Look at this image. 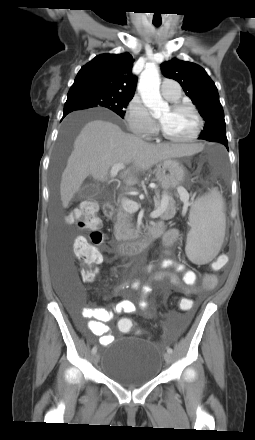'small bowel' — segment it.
Instances as JSON below:
<instances>
[{
	"instance_id": "small-bowel-1",
	"label": "small bowel",
	"mask_w": 255,
	"mask_h": 440,
	"mask_svg": "<svg viewBox=\"0 0 255 440\" xmlns=\"http://www.w3.org/2000/svg\"><path fill=\"white\" fill-rule=\"evenodd\" d=\"M158 226L163 228L162 223H159ZM179 239V229L170 228L166 231L163 237L166 256L170 255V248ZM156 266H159L162 269L155 272L150 277L149 284L141 286L139 282H135L133 288H141L144 294H148L152 291V283H164L167 285V288L176 289L185 294L186 297L184 298H190V296L198 295L203 291L213 289L216 285L215 276H210L207 279L204 277L203 282L198 284V276L194 271L187 269L182 263L174 261L168 257L155 265L148 266L147 271L152 270ZM170 268L181 273V277L175 272L170 271ZM131 313H141L144 316H150L151 311L148 302L144 299L137 302L122 300L116 303L111 310L100 307H84L80 311V316L89 319V321L84 325L79 317L76 316L75 319L80 329H87L99 338V342L102 346H107L114 341V336L111 334L107 322L112 321L116 315Z\"/></svg>"
}]
</instances>
